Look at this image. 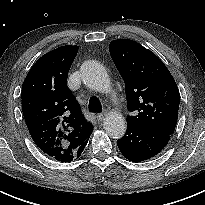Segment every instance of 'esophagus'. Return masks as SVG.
Wrapping results in <instances>:
<instances>
[{
  "mask_svg": "<svg viewBox=\"0 0 205 205\" xmlns=\"http://www.w3.org/2000/svg\"><path fill=\"white\" fill-rule=\"evenodd\" d=\"M106 114H107L106 111H104V112H102V113H98V114L96 115L97 120H98V121H102V120L105 118Z\"/></svg>",
  "mask_w": 205,
  "mask_h": 205,
  "instance_id": "obj_1",
  "label": "esophagus"
}]
</instances>
